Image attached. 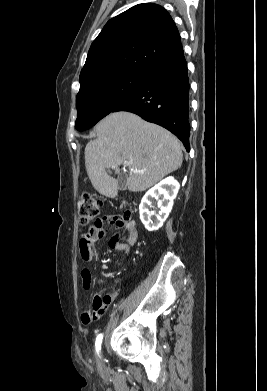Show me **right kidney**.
I'll return each mask as SVG.
<instances>
[{
	"instance_id": "ca27d5eb",
	"label": "right kidney",
	"mask_w": 267,
	"mask_h": 391,
	"mask_svg": "<svg viewBox=\"0 0 267 391\" xmlns=\"http://www.w3.org/2000/svg\"><path fill=\"white\" fill-rule=\"evenodd\" d=\"M179 188L180 184L177 180L173 177H167L143 196L139 205L140 219L148 231H156L162 227L172 210L173 200L176 198ZM154 200L160 209L158 214L149 210V207H153ZM152 216H155V219L152 220Z\"/></svg>"
}]
</instances>
